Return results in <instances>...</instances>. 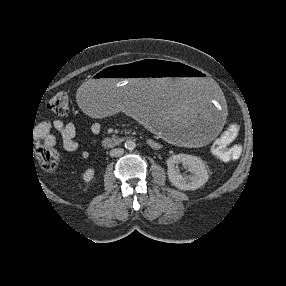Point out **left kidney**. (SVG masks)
<instances>
[{
  "label": "left kidney",
  "mask_w": 286,
  "mask_h": 286,
  "mask_svg": "<svg viewBox=\"0 0 286 286\" xmlns=\"http://www.w3.org/2000/svg\"><path fill=\"white\" fill-rule=\"evenodd\" d=\"M166 163L168 166L167 174L169 180L172 185L180 190H196L209 179L205 165L199 157L188 154H177L168 158ZM180 163L188 166V170L192 173L191 176L184 178L176 171Z\"/></svg>",
  "instance_id": "left-kidney-1"
}]
</instances>
